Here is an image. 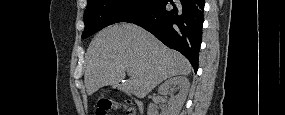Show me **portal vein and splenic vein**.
Returning <instances> with one entry per match:
<instances>
[{
    "instance_id": "obj_1",
    "label": "portal vein and splenic vein",
    "mask_w": 285,
    "mask_h": 115,
    "mask_svg": "<svg viewBox=\"0 0 285 115\" xmlns=\"http://www.w3.org/2000/svg\"><path fill=\"white\" fill-rule=\"evenodd\" d=\"M127 73L129 74V73H130V70H127Z\"/></svg>"
}]
</instances>
